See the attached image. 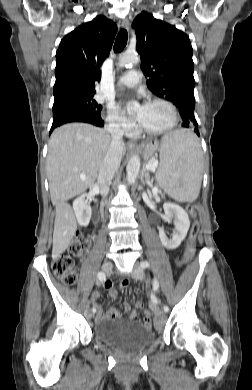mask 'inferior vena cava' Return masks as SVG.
Listing matches in <instances>:
<instances>
[{"label":"inferior vena cava","mask_w":252,"mask_h":390,"mask_svg":"<svg viewBox=\"0 0 252 390\" xmlns=\"http://www.w3.org/2000/svg\"><path fill=\"white\" fill-rule=\"evenodd\" d=\"M105 131L110 134L111 143L104 157L98 174L97 186L103 198L109 192V185L118 170L123 150V130L119 125L110 123L105 126Z\"/></svg>","instance_id":"602c4592"}]
</instances>
